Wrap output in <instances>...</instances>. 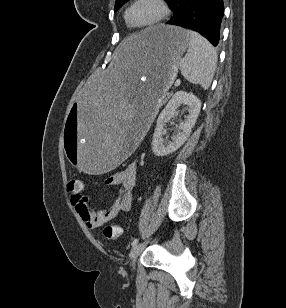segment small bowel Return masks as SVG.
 <instances>
[{"mask_svg":"<svg viewBox=\"0 0 286 308\" xmlns=\"http://www.w3.org/2000/svg\"><path fill=\"white\" fill-rule=\"evenodd\" d=\"M137 175L138 164L131 163L125 169L114 173L105 180L107 186H114L118 189L116 200L107 209L96 211L89 206L88 197L83 192V183L80 191L70 192V201L86 227L99 228L130 208L131 192L135 186Z\"/></svg>","mask_w":286,"mask_h":308,"instance_id":"small-bowel-1","label":"small bowel"}]
</instances>
